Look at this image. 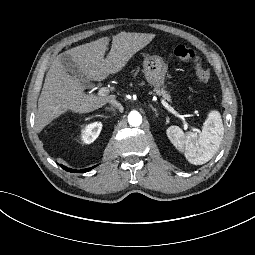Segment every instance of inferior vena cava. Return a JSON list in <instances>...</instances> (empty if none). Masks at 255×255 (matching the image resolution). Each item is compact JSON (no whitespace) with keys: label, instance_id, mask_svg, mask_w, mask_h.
I'll return each instance as SVG.
<instances>
[{"label":"inferior vena cava","instance_id":"obj_1","mask_svg":"<svg viewBox=\"0 0 255 255\" xmlns=\"http://www.w3.org/2000/svg\"><path fill=\"white\" fill-rule=\"evenodd\" d=\"M111 106H113L115 109H117L119 112H123L124 108L120 102H118L116 99L110 100Z\"/></svg>","mask_w":255,"mask_h":255}]
</instances>
